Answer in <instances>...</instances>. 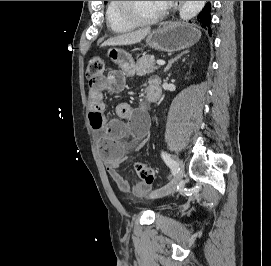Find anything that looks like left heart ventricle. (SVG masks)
<instances>
[{
	"label": "left heart ventricle",
	"instance_id": "1",
	"mask_svg": "<svg viewBox=\"0 0 271 266\" xmlns=\"http://www.w3.org/2000/svg\"><path fill=\"white\" fill-rule=\"evenodd\" d=\"M132 11L140 18L147 19L156 15L161 9L160 1H130Z\"/></svg>",
	"mask_w": 271,
	"mask_h": 266
}]
</instances>
